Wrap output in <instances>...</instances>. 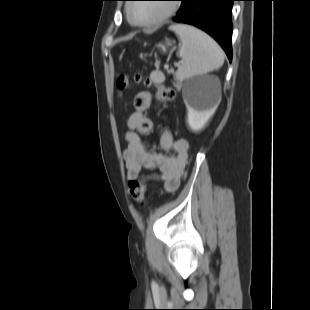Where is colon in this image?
I'll use <instances>...</instances> for the list:
<instances>
[{"mask_svg": "<svg viewBox=\"0 0 310 310\" xmlns=\"http://www.w3.org/2000/svg\"><path fill=\"white\" fill-rule=\"evenodd\" d=\"M143 84L146 87L154 86L156 88V96L160 101H171L175 92L172 88L163 84V75L160 72H153L149 76L144 77L139 73L130 76L128 74H121L116 82L118 91L120 93L126 91L131 82ZM147 191V184L138 180H132L129 182V194L133 201L136 203H142Z\"/></svg>", "mask_w": 310, "mask_h": 310, "instance_id": "obj_1", "label": "colon"}]
</instances>
